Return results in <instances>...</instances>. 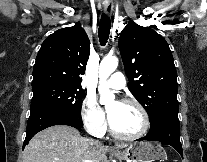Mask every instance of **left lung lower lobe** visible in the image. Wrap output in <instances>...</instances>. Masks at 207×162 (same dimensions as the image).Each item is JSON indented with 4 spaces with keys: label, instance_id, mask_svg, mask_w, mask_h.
I'll list each match as a JSON object with an SVG mask.
<instances>
[{
    "label": "left lung lower lobe",
    "instance_id": "0a47b994",
    "mask_svg": "<svg viewBox=\"0 0 207 162\" xmlns=\"http://www.w3.org/2000/svg\"><path fill=\"white\" fill-rule=\"evenodd\" d=\"M150 122L149 133L138 140L159 141L164 145H171L183 157L178 111L162 112Z\"/></svg>",
    "mask_w": 207,
    "mask_h": 162
}]
</instances>
